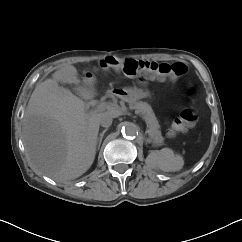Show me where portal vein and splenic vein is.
Returning a JSON list of instances; mask_svg holds the SVG:
<instances>
[{"mask_svg": "<svg viewBox=\"0 0 242 242\" xmlns=\"http://www.w3.org/2000/svg\"><path fill=\"white\" fill-rule=\"evenodd\" d=\"M113 110L115 109V107H113L112 104L110 103H100L99 105H97L96 107V111H104V110Z\"/></svg>", "mask_w": 242, "mask_h": 242, "instance_id": "18ae733b", "label": "portal vein and splenic vein"}]
</instances>
